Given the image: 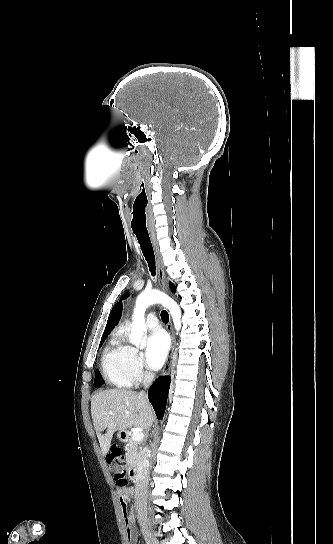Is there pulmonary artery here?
<instances>
[{
	"instance_id": "obj_1",
	"label": "pulmonary artery",
	"mask_w": 333,
	"mask_h": 544,
	"mask_svg": "<svg viewBox=\"0 0 333 544\" xmlns=\"http://www.w3.org/2000/svg\"><path fill=\"white\" fill-rule=\"evenodd\" d=\"M146 325L149 329L157 330L159 328L158 318L154 313H149L146 317Z\"/></svg>"
}]
</instances>
